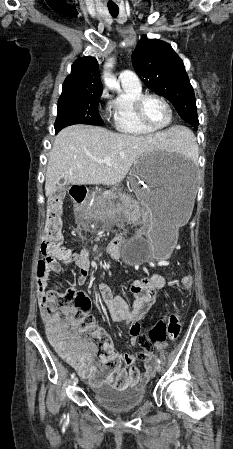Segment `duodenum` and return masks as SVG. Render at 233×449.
<instances>
[{
	"mask_svg": "<svg viewBox=\"0 0 233 449\" xmlns=\"http://www.w3.org/2000/svg\"><path fill=\"white\" fill-rule=\"evenodd\" d=\"M70 194L72 198L73 206H84L85 199L87 198V187L86 186H71ZM120 245V239H116L112 242L110 249L117 252Z\"/></svg>",
	"mask_w": 233,
	"mask_h": 449,
	"instance_id": "1",
	"label": "duodenum"
}]
</instances>
